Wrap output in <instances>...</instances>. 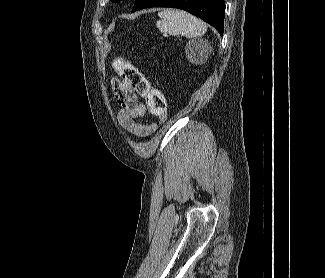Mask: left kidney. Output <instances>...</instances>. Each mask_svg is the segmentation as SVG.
Listing matches in <instances>:
<instances>
[{
    "label": "left kidney",
    "mask_w": 325,
    "mask_h": 278,
    "mask_svg": "<svg viewBox=\"0 0 325 278\" xmlns=\"http://www.w3.org/2000/svg\"><path fill=\"white\" fill-rule=\"evenodd\" d=\"M187 54H188V58L192 59V55H191V53L189 51L187 52Z\"/></svg>",
    "instance_id": "obj_1"
}]
</instances>
